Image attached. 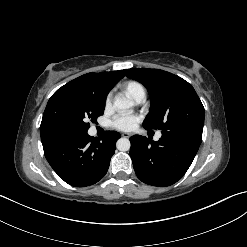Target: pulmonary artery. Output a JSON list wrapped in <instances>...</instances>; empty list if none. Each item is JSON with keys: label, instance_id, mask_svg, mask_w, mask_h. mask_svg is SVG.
I'll return each mask as SVG.
<instances>
[{"label": "pulmonary artery", "instance_id": "obj_1", "mask_svg": "<svg viewBox=\"0 0 247 247\" xmlns=\"http://www.w3.org/2000/svg\"><path fill=\"white\" fill-rule=\"evenodd\" d=\"M146 99V95H145V92H140L135 98V102L136 103H143ZM161 138V133H157L156 136H155V139L156 140H159Z\"/></svg>", "mask_w": 247, "mask_h": 247}]
</instances>
